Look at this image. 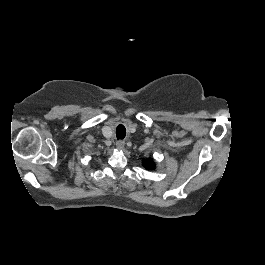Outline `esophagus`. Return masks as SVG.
<instances>
[{"mask_svg":"<svg viewBox=\"0 0 265 265\" xmlns=\"http://www.w3.org/2000/svg\"><path fill=\"white\" fill-rule=\"evenodd\" d=\"M124 145H125L124 141H118V142L116 143V147H117V149H119V150H122V149L124 148Z\"/></svg>","mask_w":265,"mask_h":265,"instance_id":"1","label":"esophagus"}]
</instances>
